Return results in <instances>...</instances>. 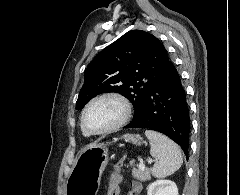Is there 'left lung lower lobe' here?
<instances>
[{
	"label": "left lung lower lobe",
	"instance_id": "left-lung-lower-lobe-1",
	"mask_svg": "<svg viewBox=\"0 0 240 195\" xmlns=\"http://www.w3.org/2000/svg\"><path fill=\"white\" fill-rule=\"evenodd\" d=\"M124 128L161 132L180 145L188 155L190 116L181 78L170 61L167 72L149 90L141 110Z\"/></svg>",
	"mask_w": 240,
	"mask_h": 195
}]
</instances>
